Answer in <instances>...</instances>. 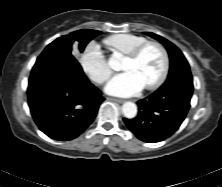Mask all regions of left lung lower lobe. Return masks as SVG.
<instances>
[{
  "instance_id": "1",
  "label": "left lung lower lobe",
  "mask_w": 222,
  "mask_h": 187,
  "mask_svg": "<svg viewBox=\"0 0 222 187\" xmlns=\"http://www.w3.org/2000/svg\"><path fill=\"white\" fill-rule=\"evenodd\" d=\"M193 94L191 74L162 85L137 102L138 114L124 118L129 130L141 141L156 143L170 137L184 121Z\"/></svg>"
}]
</instances>
